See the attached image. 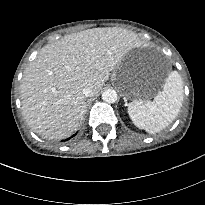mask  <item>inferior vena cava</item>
Listing matches in <instances>:
<instances>
[{
  "mask_svg": "<svg viewBox=\"0 0 205 205\" xmlns=\"http://www.w3.org/2000/svg\"><path fill=\"white\" fill-rule=\"evenodd\" d=\"M83 94L85 97H93L95 95V90H94L93 86H86L83 89Z\"/></svg>",
  "mask_w": 205,
  "mask_h": 205,
  "instance_id": "inferior-vena-cava-1",
  "label": "inferior vena cava"
}]
</instances>
